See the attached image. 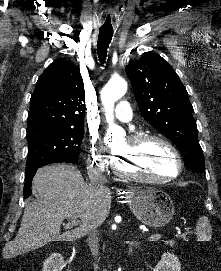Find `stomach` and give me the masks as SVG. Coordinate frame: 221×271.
Wrapping results in <instances>:
<instances>
[{
  "label": "stomach",
  "instance_id": "obj_1",
  "mask_svg": "<svg viewBox=\"0 0 221 271\" xmlns=\"http://www.w3.org/2000/svg\"><path fill=\"white\" fill-rule=\"evenodd\" d=\"M127 203L137 219L150 227H163L174 215V205L170 195L160 189L150 191V189L134 187L127 195Z\"/></svg>",
  "mask_w": 221,
  "mask_h": 271
}]
</instances>
